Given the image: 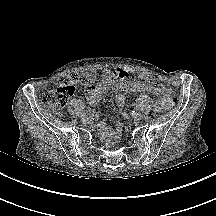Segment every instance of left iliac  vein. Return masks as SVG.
Masks as SVG:
<instances>
[{
    "instance_id": "4c4485c4",
    "label": "left iliac vein",
    "mask_w": 216,
    "mask_h": 216,
    "mask_svg": "<svg viewBox=\"0 0 216 216\" xmlns=\"http://www.w3.org/2000/svg\"><path fill=\"white\" fill-rule=\"evenodd\" d=\"M133 118L135 120H142L144 118V115L140 112H137V114L135 116L133 115Z\"/></svg>"
}]
</instances>
